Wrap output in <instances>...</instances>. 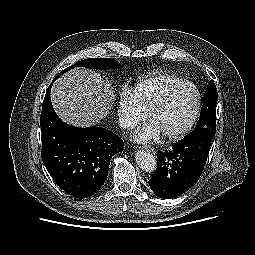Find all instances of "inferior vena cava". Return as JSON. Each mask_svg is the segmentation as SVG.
<instances>
[{
	"label": "inferior vena cava",
	"mask_w": 255,
	"mask_h": 255,
	"mask_svg": "<svg viewBox=\"0 0 255 255\" xmlns=\"http://www.w3.org/2000/svg\"><path fill=\"white\" fill-rule=\"evenodd\" d=\"M120 123H121V126L124 127V128H130V127L134 126L133 122L129 121V120H124L123 119V120L120 121Z\"/></svg>",
	"instance_id": "obj_1"
}]
</instances>
